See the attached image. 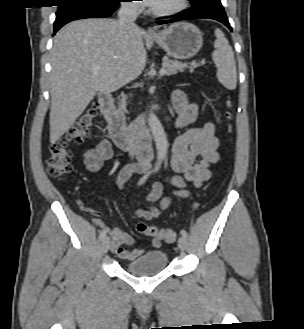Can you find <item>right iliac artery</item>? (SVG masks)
<instances>
[{
    "instance_id": "1",
    "label": "right iliac artery",
    "mask_w": 304,
    "mask_h": 329,
    "mask_svg": "<svg viewBox=\"0 0 304 329\" xmlns=\"http://www.w3.org/2000/svg\"><path fill=\"white\" fill-rule=\"evenodd\" d=\"M148 176H149V174L144 175V176L139 180L138 185L143 184V183L147 180ZM106 233H107V232H106L105 230H103V231L100 233V239H104L105 236H106Z\"/></svg>"
}]
</instances>
